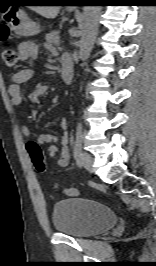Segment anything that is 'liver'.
Returning <instances> with one entry per match:
<instances>
[{"label": "liver", "mask_w": 156, "mask_h": 266, "mask_svg": "<svg viewBox=\"0 0 156 266\" xmlns=\"http://www.w3.org/2000/svg\"><path fill=\"white\" fill-rule=\"evenodd\" d=\"M31 10L47 19H54L60 11V6H32Z\"/></svg>", "instance_id": "6515ba94"}]
</instances>
